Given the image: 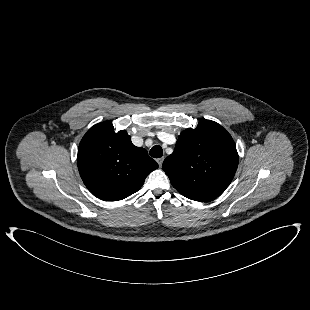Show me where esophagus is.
<instances>
[{"instance_id": "34e87169", "label": "esophagus", "mask_w": 310, "mask_h": 310, "mask_svg": "<svg viewBox=\"0 0 310 310\" xmlns=\"http://www.w3.org/2000/svg\"><path fill=\"white\" fill-rule=\"evenodd\" d=\"M163 160H164V158L157 159V163H158L159 167L162 166Z\"/></svg>"}]
</instances>
